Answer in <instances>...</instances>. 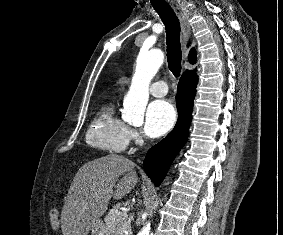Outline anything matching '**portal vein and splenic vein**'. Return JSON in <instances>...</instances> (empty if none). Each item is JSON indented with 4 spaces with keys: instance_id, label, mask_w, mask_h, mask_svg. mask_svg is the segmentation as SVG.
Masks as SVG:
<instances>
[{
    "instance_id": "obj_1",
    "label": "portal vein and splenic vein",
    "mask_w": 283,
    "mask_h": 235,
    "mask_svg": "<svg viewBox=\"0 0 283 235\" xmlns=\"http://www.w3.org/2000/svg\"><path fill=\"white\" fill-rule=\"evenodd\" d=\"M122 212H123L124 214H127V212H126V210H125V209H123V210H122Z\"/></svg>"
}]
</instances>
